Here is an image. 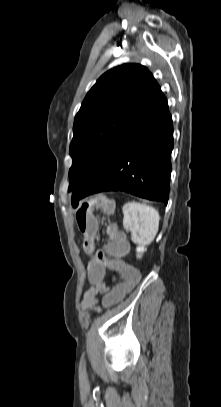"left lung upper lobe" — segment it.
Wrapping results in <instances>:
<instances>
[{
    "label": "left lung upper lobe",
    "mask_w": 221,
    "mask_h": 407,
    "mask_svg": "<svg viewBox=\"0 0 221 407\" xmlns=\"http://www.w3.org/2000/svg\"><path fill=\"white\" fill-rule=\"evenodd\" d=\"M146 67L124 64L104 73L75 116L69 188L73 198L97 175L142 105L158 87Z\"/></svg>",
    "instance_id": "5c2ea615"
}]
</instances>
